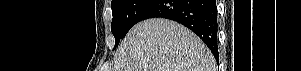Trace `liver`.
<instances>
[{"mask_svg":"<svg viewBox=\"0 0 301 71\" xmlns=\"http://www.w3.org/2000/svg\"><path fill=\"white\" fill-rule=\"evenodd\" d=\"M110 71H216V62L207 46L189 29L153 18L131 28Z\"/></svg>","mask_w":301,"mask_h":71,"instance_id":"liver-1","label":"liver"}]
</instances>
